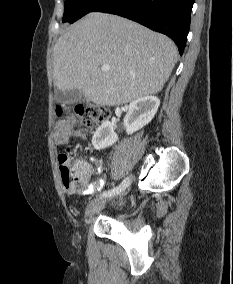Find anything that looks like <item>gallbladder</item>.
Returning a JSON list of instances; mask_svg holds the SVG:
<instances>
[{
    "label": "gallbladder",
    "mask_w": 233,
    "mask_h": 284,
    "mask_svg": "<svg viewBox=\"0 0 233 284\" xmlns=\"http://www.w3.org/2000/svg\"><path fill=\"white\" fill-rule=\"evenodd\" d=\"M83 98V93L77 89H72L66 92L58 90L56 93V99L63 104H75Z\"/></svg>",
    "instance_id": "gallbladder-1"
}]
</instances>
